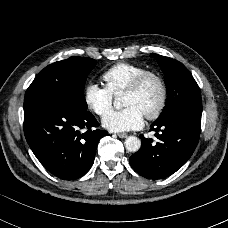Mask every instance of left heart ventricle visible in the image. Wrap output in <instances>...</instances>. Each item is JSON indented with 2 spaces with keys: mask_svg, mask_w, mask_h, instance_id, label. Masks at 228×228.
<instances>
[{
  "mask_svg": "<svg viewBox=\"0 0 228 228\" xmlns=\"http://www.w3.org/2000/svg\"><path fill=\"white\" fill-rule=\"evenodd\" d=\"M160 99L161 88L155 79L150 78L138 92L124 93L123 106L135 107L144 115L152 112L158 106Z\"/></svg>",
  "mask_w": 228,
  "mask_h": 228,
  "instance_id": "left-heart-ventricle-1",
  "label": "left heart ventricle"
}]
</instances>
